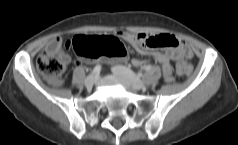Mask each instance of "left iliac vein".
Returning a JSON list of instances; mask_svg holds the SVG:
<instances>
[{
	"label": "left iliac vein",
	"mask_w": 238,
	"mask_h": 145,
	"mask_svg": "<svg viewBox=\"0 0 238 145\" xmlns=\"http://www.w3.org/2000/svg\"><path fill=\"white\" fill-rule=\"evenodd\" d=\"M112 72L115 76L120 78V80L126 87L131 90L137 91L146 87V83L144 81H142L131 70L124 66H113Z\"/></svg>",
	"instance_id": "4c4485c4"
}]
</instances>
